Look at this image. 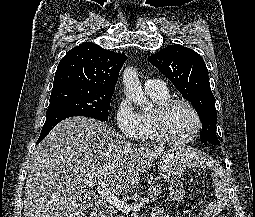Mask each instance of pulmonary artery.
Instances as JSON below:
<instances>
[{"label":"pulmonary artery","mask_w":255,"mask_h":217,"mask_svg":"<svg viewBox=\"0 0 255 217\" xmlns=\"http://www.w3.org/2000/svg\"><path fill=\"white\" fill-rule=\"evenodd\" d=\"M166 85L163 81L157 79H150L145 82L146 91H161L165 90Z\"/></svg>","instance_id":"pulmonary-artery-1"}]
</instances>
